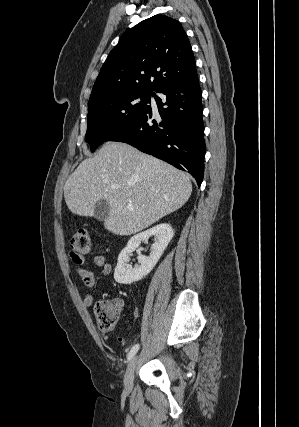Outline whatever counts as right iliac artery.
<instances>
[{"label":"right iliac artery","instance_id":"82829eb1","mask_svg":"<svg viewBox=\"0 0 299 427\" xmlns=\"http://www.w3.org/2000/svg\"><path fill=\"white\" fill-rule=\"evenodd\" d=\"M138 349H139V344H136V345H134L132 347V349L130 350V352H129L128 356H127L128 361L131 360V358L136 354V352L138 351Z\"/></svg>","mask_w":299,"mask_h":427}]
</instances>
